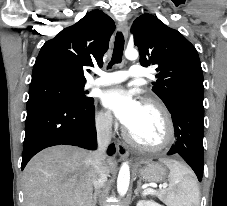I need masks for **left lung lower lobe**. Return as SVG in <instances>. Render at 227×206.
I'll use <instances>...</instances> for the list:
<instances>
[{
    "label": "left lung lower lobe",
    "instance_id": "obj_1",
    "mask_svg": "<svg viewBox=\"0 0 227 206\" xmlns=\"http://www.w3.org/2000/svg\"><path fill=\"white\" fill-rule=\"evenodd\" d=\"M168 110L172 115L176 142L167 155H180L201 181L203 175V102L180 101Z\"/></svg>",
    "mask_w": 227,
    "mask_h": 206
}]
</instances>
